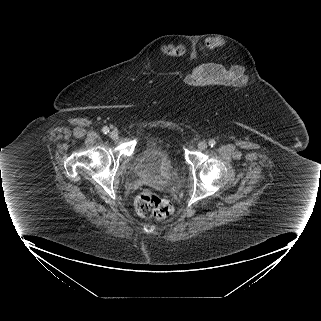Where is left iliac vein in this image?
I'll list each match as a JSON object with an SVG mask.
<instances>
[{
    "mask_svg": "<svg viewBox=\"0 0 321 321\" xmlns=\"http://www.w3.org/2000/svg\"><path fill=\"white\" fill-rule=\"evenodd\" d=\"M207 143L206 142H204V141H202V142H200L199 144H198V149L199 150H205L206 148H207Z\"/></svg>",
    "mask_w": 321,
    "mask_h": 321,
    "instance_id": "1",
    "label": "left iliac vein"
}]
</instances>
